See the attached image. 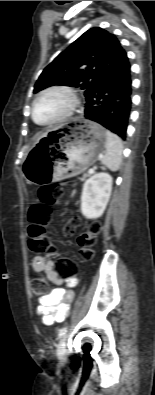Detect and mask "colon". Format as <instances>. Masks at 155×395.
<instances>
[{
    "mask_svg": "<svg viewBox=\"0 0 155 395\" xmlns=\"http://www.w3.org/2000/svg\"><path fill=\"white\" fill-rule=\"evenodd\" d=\"M60 195L61 188L57 184L40 187L38 191L40 203L34 205L29 211L28 244L31 251L47 254L54 253V248L45 234V226L50 215V205L54 204L59 199ZM76 226V221H71L66 224L64 227L65 234L72 235L75 232ZM100 233V223L92 222L88 229L79 235L78 244L83 259L90 260L93 257V247ZM78 273L79 270L72 260H61L60 268L57 269V274L61 275V281H70V275H78ZM48 286L47 280L42 277H36L31 281V291L35 296L44 294Z\"/></svg>",
    "mask_w": 155,
    "mask_h": 395,
    "instance_id": "colon-1",
    "label": "colon"
}]
</instances>
